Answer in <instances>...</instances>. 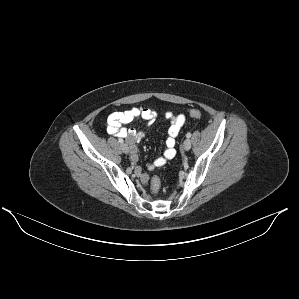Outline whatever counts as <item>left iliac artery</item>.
Wrapping results in <instances>:
<instances>
[{
  "mask_svg": "<svg viewBox=\"0 0 299 299\" xmlns=\"http://www.w3.org/2000/svg\"><path fill=\"white\" fill-rule=\"evenodd\" d=\"M186 137H187V138H190V137H191V133H187V134H186Z\"/></svg>",
  "mask_w": 299,
  "mask_h": 299,
  "instance_id": "left-iliac-artery-1",
  "label": "left iliac artery"
}]
</instances>
